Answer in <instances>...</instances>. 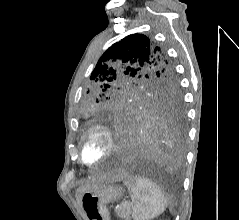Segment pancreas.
<instances>
[{
    "mask_svg": "<svg viewBox=\"0 0 239 220\" xmlns=\"http://www.w3.org/2000/svg\"><path fill=\"white\" fill-rule=\"evenodd\" d=\"M117 215L121 218H124L125 220H130L131 215L130 206L125 204L119 206Z\"/></svg>",
    "mask_w": 239,
    "mask_h": 220,
    "instance_id": "1",
    "label": "pancreas"
}]
</instances>
